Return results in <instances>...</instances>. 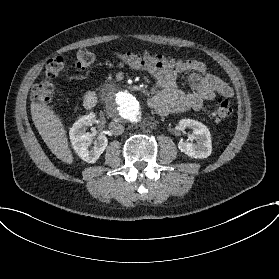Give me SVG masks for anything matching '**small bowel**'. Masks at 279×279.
Masks as SVG:
<instances>
[{"mask_svg":"<svg viewBox=\"0 0 279 279\" xmlns=\"http://www.w3.org/2000/svg\"><path fill=\"white\" fill-rule=\"evenodd\" d=\"M121 60L132 70L148 74L154 80L153 93L148 106L161 115L200 110L205 102L216 95H231L230 87L219 77L207 73L206 64L197 59L174 58L154 54L148 50L141 53L119 54ZM188 72L189 91L178 85V75Z\"/></svg>","mask_w":279,"mask_h":279,"instance_id":"1","label":"small bowel"}]
</instances>
